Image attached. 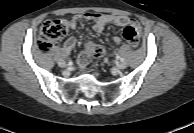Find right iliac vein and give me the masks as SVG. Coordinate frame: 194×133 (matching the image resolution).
I'll list each match as a JSON object with an SVG mask.
<instances>
[{
	"instance_id": "63e3f726",
	"label": "right iliac vein",
	"mask_w": 194,
	"mask_h": 133,
	"mask_svg": "<svg viewBox=\"0 0 194 133\" xmlns=\"http://www.w3.org/2000/svg\"><path fill=\"white\" fill-rule=\"evenodd\" d=\"M58 65H59L60 67H66V66H67L66 62L63 61V60H59V61H58Z\"/></svg>"
}]
</instances>
